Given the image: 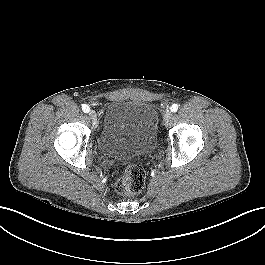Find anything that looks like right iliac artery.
I'll return each instance as SVG.
<instances>
[{"instance_id":"82829eb1","label":"right iliac artery","mask_w":265,"mask_h":265,"mask_svg":"<svg viewBox=\"0 0 265 265\" xmlns=\"http://www.w3.org/2000/svg\"><path fill=\"white\" fill-rule=\"evenodd\" d=\"M82 110H83V112L88 113L90 111V108L87 104H84V105H82Z\"/></svg>"}]
</instances>
